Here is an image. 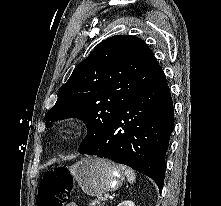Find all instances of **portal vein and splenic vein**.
I'll return each instance as SVG.
<instances>
[{
    "label": "portal vein and splenic vein",
    "mask_w": 221,
    "mask_h": 206,
    "mask_svg": "<svg viewBox=\"0 0 221 206\" xmlns=\"http://www.w3.org/2000/svg\"><path fill=\"white\" fill-rule=\"evenodd\" d=\"M104 197H105V199H107V198H109V195H108V194H106Z\"/></svg>",
    "instance_id": "portal-vein-and-splenic-vein-1"
}]
</instances>
